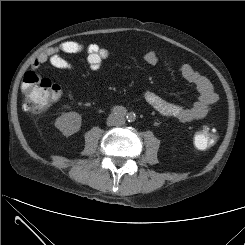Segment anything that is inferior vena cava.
Listing matches in <instances>:
<instances>
[{
  "label": "inferior vena cava",
  "mask_w": 245,
  "mask_h": 245,
  "mask_svg": "<svg viewBox=\"0 0 245 245\" xmlns=\"http://www.w3.org/2000/svg\"><path fill=\"white\" fill-rule=\"evenodd\" d=\"M110 122L113 125H122L124 123V118L122 116L116 115L110 118Z\"/></svg>",
  "instance_id": "obj_1"
}]
</instances>
